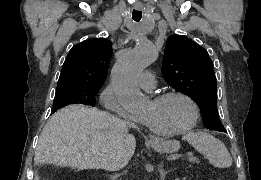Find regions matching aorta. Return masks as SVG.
Here are the masks:
<instances>
[{
	"mask_svg": "<svg viewBox=\"0 0 261 180\" xmlns=\"http://www.w3.org/2000/svg\"><path fill=\"white\" fill-rule=\"evenodd\" d=\"M158 53L148 41L121 56L111 72L112 85L120 104L128 111L140 110L145 98L138 88L139 74L157 59Z\"/></svg>",
	"mask_w": 261,
	"mask_h": 180,
	"instance_id": "obj_1",
	"label": "aorta"
}]
</instances>
